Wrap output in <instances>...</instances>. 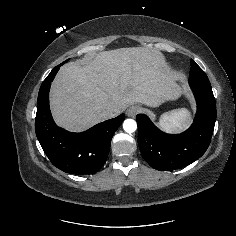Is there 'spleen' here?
<instances>
[{"label":"spleen","instance_id":"obj_1","mask_svg":"<svg viewBox=\"0 0 236 236\" xmlns=\"http://www.w3.org/2000/svg\"><path fill=\"white\" fill-rule=\"evenodd\" d=\"M189 120V110L181 108L162 114L158 124L166 132H179L188 125Z\"/></svg>","mask_w":236,"mask_h":236}]
</instances>
